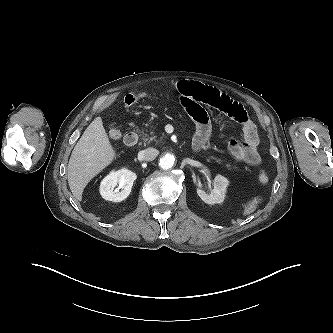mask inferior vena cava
<instances>
[{"label": "inferior vena cava", "mask_w": 333, "mask_h": 333, "mask_svg": "<svg viewBox=\"0 0 333 333\" xmlns=\"http://www.w3.org/2000/svg\"><path fill=\"white\" fill-rule=\"evenodd\" d=\"M142 153H143L144 160L152 161L158 156L159 151L155 148L150 147V148L143 150Z\"/></svg>", "instance_id": "inferior-vena-cava-1"}]
</instances>
